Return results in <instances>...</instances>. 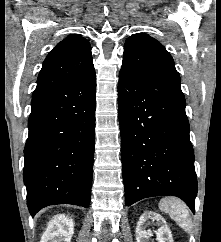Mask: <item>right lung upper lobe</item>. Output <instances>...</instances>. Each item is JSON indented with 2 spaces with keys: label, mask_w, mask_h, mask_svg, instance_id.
<instances>
[{
  "label": "right lung upper lobe",
  "mask_w": 221,
  "mask_h": 242,
  "mask_svg": "<svg viewBox=\"0 0 221 242\" xmlns=\"http://www.w3.org/2000/svg\"><path fill=\"white\" fill-rule=\"evenodd\" d=\"M94 71L88 40L70 35L47 55L32 97L68 88Z\"/></svg>",
  "instance_id": "obj_1"
}]
</instances>
